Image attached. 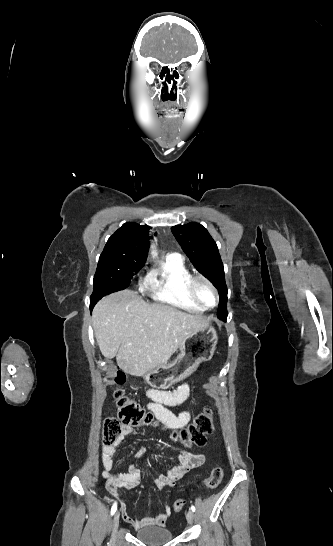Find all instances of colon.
Returning <instances> with one entry per match:
<instances>
[{
	"mask_svg": "<svg viewBox=\"0 0 333 546\" xmlns=\"http://www.w3.org/2000/svg\"><path fill=\"white\" fill-rule=\"evenodd\" d=\"M124 381L125 374L122 371H118L116 382L122 384ZM115 397L117 406L116 416L107 417L103 426V442L106 445H111L118 440L123 425L133 428L155 424L152 414L147 412L135 400L125 395L123 390L118 389ZM213 429L211 410L205 409L196 415L192 423L187 427L174 432L171 438L188 448L194 446L201 447L206 444L207 437L213 433ZM222 478L223 469L216 467L212 470L210 476L202 481V485L207 489H214L221 483ZM184 505L185 501L183 499H177L173 503V510L179 512L183 509Z\"/></svg>",
	"mask_w": 333,
	"mask_h": 546,
	"instance_id": "colon-1",
	"label": "colon"
}]
</instances>
